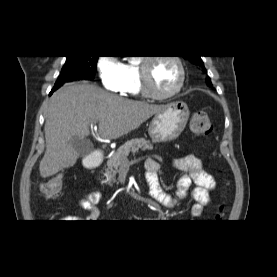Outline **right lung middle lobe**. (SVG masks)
I'll return each mask as SVG.
<instances>
[{
	"label": "right lung middle lobe",
	"mask_w": 277,
	"mask_h": 277,
	"mask_svg": "<svg viewBox=\"0 0 277 277\" xmlns=\"http://www.w3.org/2000/svg\"><path fill=\"white\" fill-rule=\"evenodd\" d=\"M98 56L79 57L67 56L59 78H67V81L77 79L92 80L97 67Z\"/></svg>",
	"instance_id": "dd1d6c3e"
}]
</instances>
